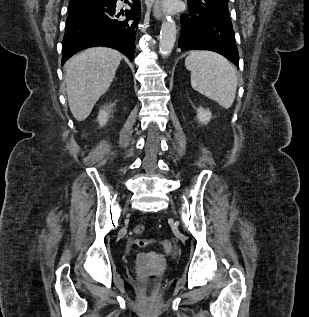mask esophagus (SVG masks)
I'll list each match as a JSON object with an SVG mask.
<instances>
[{
  "label": "esophagus",
  "instance_id": "34e87169",
  "mask_svg": "<svg viewBox=\"0 0 309 317\" xmlns=\"http://www.w3.org/2000/svg\"><path fill=\"white\" fill-rule=\"evenodd\" d=\"M164 14L162 0H154L153 15L155 18L162 19Z\"/></svg>",
  "mask_w": 309,
  "mask_h": 317
}]
</instances>
